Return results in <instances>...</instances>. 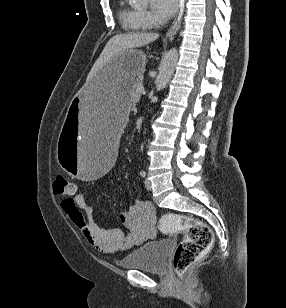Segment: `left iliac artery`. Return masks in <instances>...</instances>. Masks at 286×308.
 Instances as JSON below:
<instances>
[{
  "label": "left iliac artery",
  "mask_w": 286,
  "mask_h": 308,
  "mask_svg": "<svg viewBox=\"0 0 286 308\" xmlns=\"http://www.w3.org/2000/svg\"><path fill=\"white\" fill-rule=\"evenodd\" d=\"M140 175H141V177H145L146 176V172L144 170H141L140 171Z\"/></svg>",
  "instance_id": "1"
}]
</instances>
